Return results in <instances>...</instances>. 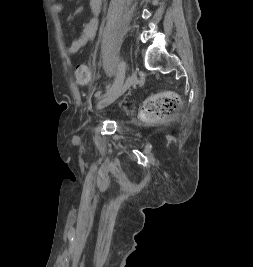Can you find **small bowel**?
Here are the masks:
<instances>
[{"label":"small bowel","instance_id":"c3829d8e","mask_svg":"<svg viewBox=\"0 0 253 267\" xmlns=\"http://www.w3.org/2000/svg\"><path fill=\"white\" fill-rule=\"evenodd\" d=\"M89 4L91 15L89 19L81 26L79 37L69 44L67 50L70 54L77 53L89 41H91L96 34L99 24V14L102 0H89ZM52 10L55 14H60L63 10V6L60 3H54Z\"/></svg>","mask_w":253,"mask_h":267}]
</instances>
